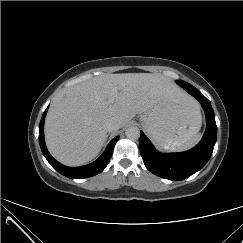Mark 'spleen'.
I'll use <instances>...</instances> for the list:
<instances>
[{
	"label": "spleen",
	"instance_id": "spleen-1",
	"mask_svg": "<svg viewBox=\"0 0 243 243\" xmlns=\"http://www.w3.org/2000/svg\"><path fill=\"white\" fill-rule=\"evenodd\" d=\"M200 139H201V135L196 133L194 136H192L188 141L184 143H175L172 149L177 151L188 150L193 146H195Z\"/></svg>",
	"mask_w": 243,
	"mask_h": 243
}]
</instances>
